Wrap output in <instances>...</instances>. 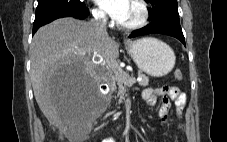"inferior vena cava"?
<instances>
[{"instance_id": "1", "label": "inferior vena cava", "mask_w": 227, "mask_h": 142, "mask_svg": "<svg viewBox=\"0 0 227 142\" xmlns=\"http://www.w3.org/2000/svg\"><path fill=\"white\" fill-rule=\"evenodd\" d=\"M93 19L89 22L90 26L99 35H107L106 15L102 11L93 12Z\"/></svg>"}]
</instances>
